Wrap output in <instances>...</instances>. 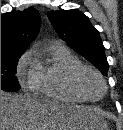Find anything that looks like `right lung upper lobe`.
Listing matches in <instances>:
<instances>
[{"mask_svg": "<svg viewBox=\"0 0 123 130\" xmlns=\"http://www.w3.org/2000/svg\"><path fill=\"white\" fill-rule=\"evenodd\" d=\"M38 11L29 7L1 15V55L24 53L40 28Z\"/></svg>", "mask_w": 123, "mask_h": 130, "instance_id": "obj_1", "label": "right lung upper lobe"}]
</instances>
